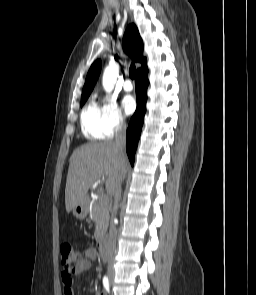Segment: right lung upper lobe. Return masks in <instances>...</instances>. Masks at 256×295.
Segmentation results:
<instances>
[{"mask_svg": "<svg viewBox=\"0 0 256 295\" xmlns=\"http://www.w3.org/2000/svg\"><path fill=\"white\" fill-rule=\"evenodd\" d=\"M123 49L136 62L142 64L137 74L147 70L146 58L143 57V42L134 24L127 27L123 37ZM101 71V61H95L90 67L83 87L82 96H89Z\"/></svg>", "mask_w": 256, "mask_h": 295, "instance_id": "right-lung-upper-lobe-1", "label": "right lung upper lobe"}]
</instances>
